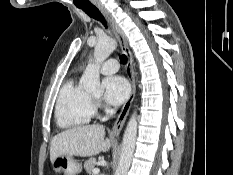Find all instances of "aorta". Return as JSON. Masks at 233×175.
<instances>
[{"instance_id": "obj_1", "label": "aorta", "mask_w": 233, "mask_h": 175, "mask_svg": "<svg viewBox=\"0 0 233 175\" xmlns=\"http://www.w3.org/2000/svg\"><path fill=\"white\" fill-rule=\"evenodd\" d=\"M117 44L113 39L99 40L94 50V63L89 64L81 78V83L86 92H99L100 65L115 50ZM137 137V116L134 112L127 124L123 136L121 155L115 175H127L130 168Z\"/></svg>"}]
</instances>
